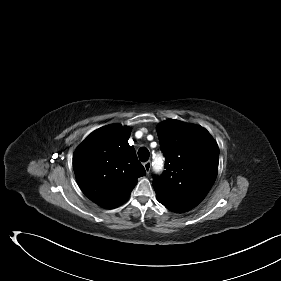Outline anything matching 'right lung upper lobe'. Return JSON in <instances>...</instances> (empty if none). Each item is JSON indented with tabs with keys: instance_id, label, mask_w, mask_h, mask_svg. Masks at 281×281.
<instances>
[{
	"instance_id": "obj_1",
	"label": "right lung upper lobe",
	"mask_w": 281,
	"mask_h": 281,
	"mask_svg": "<svg viewBox=\"0 0 281 281\" xmlns=\"http://www.w3.org/2000/svg\"><path fill=\"white\" fill-rule=\"evenodd\" d=\"M131 130L111 124L92 132L73 156L77 182L83 193L101 207L113 209L125 202L146 171L129 146Z\"/></svg>"
}]
</instances>
